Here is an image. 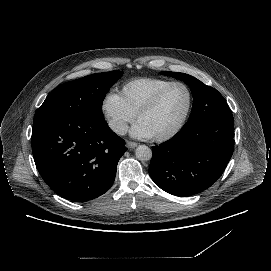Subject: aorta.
<instances>
[{"label": "aorta", "mask_w": 271, "mask_h": 271, "mask_svg": "<svg viewBox=\"0 0 271 271\" xmlns=\"http://www.w3.org/2000/svg\"><path fill=\"white\" fill-rule=\"evenodd\" d=\"M136 158L142 162L152 159V150L146 145H140L136 149Z\"/></svg>", "instance_id": "obj_1"}]
</instances>
